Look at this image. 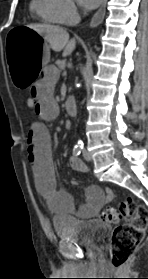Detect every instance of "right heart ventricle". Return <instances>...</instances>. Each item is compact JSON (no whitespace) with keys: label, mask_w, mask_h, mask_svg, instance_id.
Listing matches in <instances>:
<instances>
[{"label":"right heart ventricle","mask_w":148,"mask_h":279,"mask_svg":"<svg viewBox=\"0 0 148 279\" xmlns=\"http://www.w3.org/2000/svg\"><path fill=\"white\" fill-rule=\"evenodd\" d=\"M30 9L41 21L45 23H64L58 10L57 0H31Z\"/></svg>","instance_id":"1"}]
</instances>
